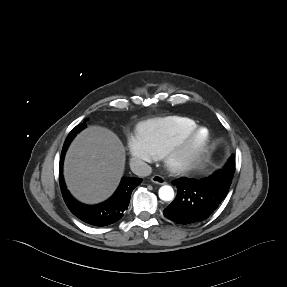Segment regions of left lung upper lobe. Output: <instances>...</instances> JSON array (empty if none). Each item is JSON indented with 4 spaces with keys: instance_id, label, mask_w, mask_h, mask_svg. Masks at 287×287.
I'll return each mask as SVG.
<instances>
[{
    "instance_id": "5c2ea615",
    "label": "left lung upper lobe",
    "mask_w": 287,
    "mask_h": 287,
    "mask_svg": "<svg viewBox=\"0 0 287 287\" xmlns=\"http://www.w3.org/2000/svg\"><path fill=\"white\" fill-rule=\"evenodd\" d=\"M234 155H232L230 157V159L228 160V163L226 164V166L224 167L225 169H229V172L230 173H233L234 171V165H235V162H234Z\"/></svg>"
}]
</instances>
